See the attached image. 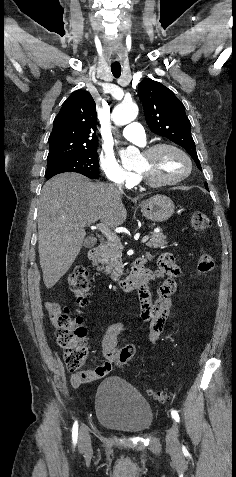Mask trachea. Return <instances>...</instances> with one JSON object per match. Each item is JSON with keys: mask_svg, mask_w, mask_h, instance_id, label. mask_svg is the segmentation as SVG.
I'll use <instances>...</instances> for the list:
<instances>
[{"mask_svg": "<svg viewBox=\"0 0 236 477\" xmlns=\"http://www.w3.org/2000/svg\"><path fill=\"white\" fill-rule=\"evenodd\" d=\"M111 71L115 78L120 77L121 75V65L119 63H114L111 65Z\"/></svg>", "mask_w": 236, "mask_h": 477, "instance_id": "trachea-1", "label": "trachea"}]
</instances>
